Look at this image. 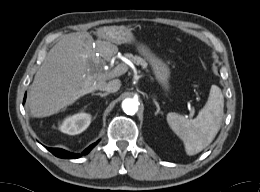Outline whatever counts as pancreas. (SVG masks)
<instances>
[{
  "label": "pancreas",
  "mask_w": 260,
  "mask_h": 192,
  "mask_svg": "<svg viewBox=\"0 0 260 192\" xmlns=\"http://www.w3.org/2000/svg\"><path fill=\"white\" fill-rule=\"evenodd\" d=\"M126 57L131 60L133 63H135L136 65H141L143 69L147 68V63L145 60H143L141 57L139 56H133L132 54H127Z\"/></svg>",
  "instance_id": "obj_1"
}]
</instances>
